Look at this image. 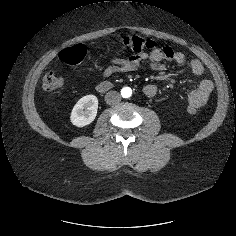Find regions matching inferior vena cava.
Listing matches in <instances>:
<instances>
[{
    "label": "inferior vena cava",
    "instance_id": "obj_1",
    "mask_svg": "<svg viewBox=\"0 0 236 236\" xmlns=\"http://www.w3.org/2000/svg\"><path fill=\"white\" fill-rule=\"evenodd\" d=\"M105 101L110 105L116 104L121 101V95L117 91H109L105 95Z\"/></svg>",
    "mask_w": 236,
    "mask_h": 236
}]
</instances>
